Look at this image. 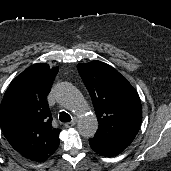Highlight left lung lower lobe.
<instances>
[{
  "instance_id": "left-lung-lower-lobe-1",
  "label": "left lung lower lobe",
  "mask_w": 171,
  "mask_h": 171,
  "mask_svg": "<svg viewBox=\"0 0 171 171\" xmlns=\"http://www.w3.org/2000/svg\"><path fill=\"white\" fill-rule=\"evenodd\" d=\"M89 143L91 148L95 152L106 157H113L123 151L120 148L110 145L106 142H103L95 137L89 139Z\"/></svg>"
}]
</instances>
